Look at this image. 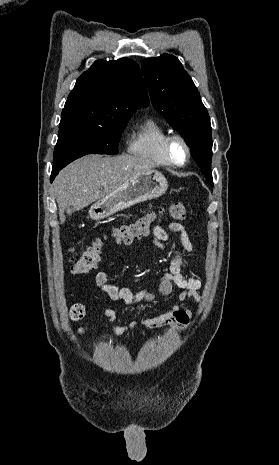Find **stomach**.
I'll return each instance as SVG.
<instances>
[{
  "instance_id": "stomach-1",
  "label": "stomach",
  "mask_w": 279,
  "mask_h": 465,
  "mask_svg": "<svg viewBox=\"0 0 279 465\" xmlns=\"http://www.w3.org/2000/svg\"><path fill=\"white\" fill-rule=\"evenodd\" d=\"M167 188L168 182L160 172H141L94 203L89 210L90 217L94 220L106 218L137 203L157 198Z\"/></svg>"
}]
</instances>
